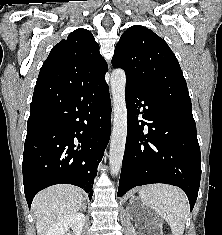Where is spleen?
<instances>
[{
    "label": "spleen",
    "mask_w": 222,
    "mask_h": 235,
    "mask_svg": "<svg viewBox=\"0 0 222 235\" xmlns=\"http://www.w3.org/2000/svg\"><path fill=\"white\" fill-rule=\"evenodd\" d=\"M142 201L169 224L172 235H183L189 212L185 194L167 184H151L139 190Z\"/></svg>",
    "instance_id": "1"
}]
</instances>
